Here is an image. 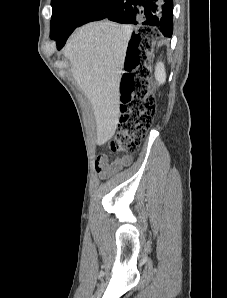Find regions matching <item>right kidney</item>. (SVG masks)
I'll list each match as a JSON object with an SVG mask.
<instances>
[{"label": "right kidney", "mask_w": 227, "mask_h": 298, "mask_svg": "<svg viewBox=\"0 0 227 298\" xmlns=\"http://www.w3.org/2000/svg\"><path fill=\"white\" fill-rule=\"evenodd\" d=\"M155 79L158 85H161L166 81L165 66L162 62H158L155 67Z\"/></svg>", "instance_id": "ca27d5eb"}]
</instances>
